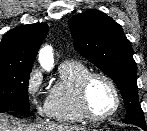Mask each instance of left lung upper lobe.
Masks as SVG:
<instances>
[{
	"instance_id": "5c2ea615",
	"label": "left lung upper lobe",
	"mask_w": 147,
	"mask_h": 131,
	"mask_svg": "<svg viewBox=\"0 0 147 131\" xmlns=\"http://www.w3.org/2000/svg\"><path fill=\"white\" fill-rule=\"evenodd\" d=\"M69 27L74 48L120 89L127 108L124 123L145 126L137 94V65L121 26L106 14L90 9L72 17Z\"/></svg>"
}]
</instances>
